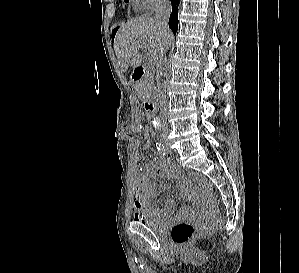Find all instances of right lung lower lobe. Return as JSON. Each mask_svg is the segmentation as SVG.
Here are the masks:
<instances>
[{"label": "right lung lower lobe", "instance_id": "98d812e1", "mask_svg": "<svg viewBox=\"0 0 299 273\" xmlns=\"http://www.w3.org/2000/svg\"><path fill=\"white\" fill-rule=\"evenodd\" d=\"M172 4V13L169 18V27L170 29L176 33L178 29V5L179 0H171Z\"/></svg>", "mask_w": 299, "mask_h": 273}]
</instances>
